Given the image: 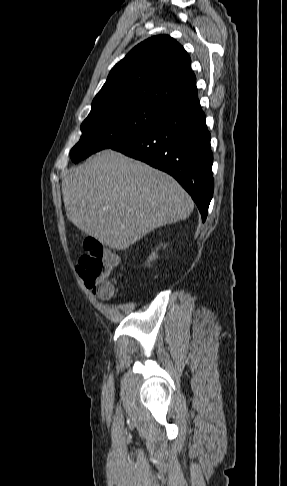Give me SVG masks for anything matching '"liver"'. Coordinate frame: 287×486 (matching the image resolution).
<instances>
[{
    "label": "liver",
    "mask_w": 287,
    "mask_h": 486,
    "mask_svg": "<svg viewBox=\"0 0 287 486\" xmlns=\"http://www.w3.org/2000/svg\"><path fill=\"white\" fill-rule=\"evenodd\" d=\"M62 194L68 219L117 250L158 227L187 219L194 208L174 178L113 150L66 171Z\"/></svg>",
    "instance_id": "obj_1"
}]
</instances>
